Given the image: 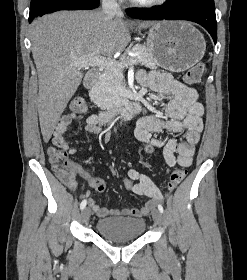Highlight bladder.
<instances>
[{"mask_svg": "<svg viewBox=\"0 0 247 280\" xmlns=\"http://www.w3.org/2000/svg\"><path fill=\"white\" fill-rule=\"evenodd\" d=\"M97 233L111 241L123 242L140 238L146 229L144 219L133 217H108L96 222Z\"/></svg>", "mask_w": 247, "mask_h": 280, "instance_id": "1", "label": "bladder"}]
</instances>
